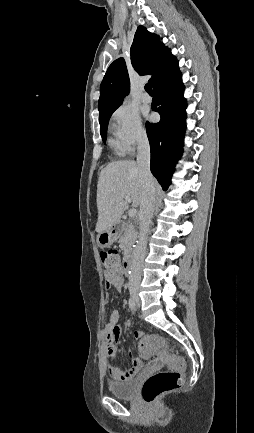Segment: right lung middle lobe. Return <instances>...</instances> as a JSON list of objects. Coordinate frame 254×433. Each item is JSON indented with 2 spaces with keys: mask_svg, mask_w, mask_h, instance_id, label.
<instances>
[{
  "mask_svg": "<svg viewBox=\"0 0 254 433\" xmlns=\"http://www.w3.org/2000/svg\"><path fill=\"white\" fill-rule=\"evenodd\" d=\"M112 113L113 112H111L110 114H108L107 117L105 118V120H103L102 122H100V134H101V137H102V139H103L104 142L106 140L108 120H109L110 116L112 115Z\"/></svg>",
  "mask_w": 254,
  "mask_h": 433,
  "instance_id": "dd1d6c3e",
  "label": "right lung middle lobe"
}]
</instances>
